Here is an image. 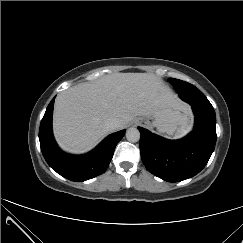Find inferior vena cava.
I'll return each instance as SVG.
<instances>
[{
    "label": "inferior vena cava",
    "mask_w": 243,
    "mask_h": 243,
    "mask_svg": "<svg viewBox=\"0 0 243 243\" xmlns=\"http://www.w3.org/2000/svg\"><path fill=\"white\" fill-rule=\"evenodd\" d=\"M119 126V119L117 118H109L107 121H106V127L109 129V130H116Z\"/></svg>",
    "instance_id": "1"
}]
</instances>
